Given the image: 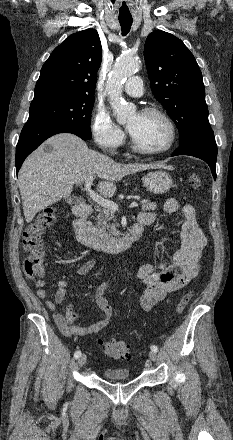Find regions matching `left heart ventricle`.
I'll return each instance as SVG.
<instances>
[{
  "instance_id": "b2bd125f",
  "label": "left heart ventricle",
  "mask_w": 233,
  "mask_h": 440,
  "mask_svg": "<svg viewBox=\"0 0 233 440\" xmlns=\"http://www.w3.org/2000/svg\"><path fill=\"white\" fill-rule=\"evenodd\" d=\"M127 126L137 143L145 149L157 150L168 143L169 128L157 115L134 114L128 120Z\"/></svg>"
}]
</instances>
